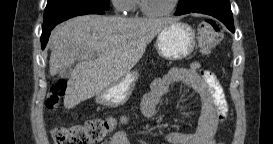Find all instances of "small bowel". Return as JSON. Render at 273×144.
I'll return each mask as SVG.
<instances>
[{
  "mask_svg": "<svg viewBox=\"0 0 273 144\" xmlns=\"http://www.w3.org/2000/svg\"><path fill=\"white\" fill-rule=\"evenodd\" d=\"M173 82H183L195 90L200 95L202 109L194 132L172 131L166 135V140L172 144H213L216 131L227 118L228 107L223 88L211 71L171 69L167 74L153 81L151 90L141 102V114L145 118L153 117L159 98L167 92ZM105 143L129 144V135L125 131H118Z\"/></svg>",
  "mask_w": 273,
  "mask_h": 144,
  "instance_id": "1",
  "label": "small bowel"
}]
</instances>
